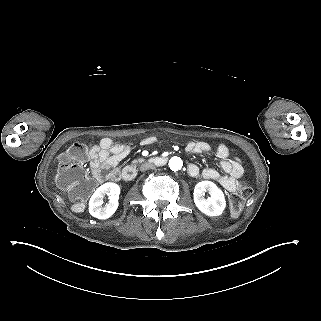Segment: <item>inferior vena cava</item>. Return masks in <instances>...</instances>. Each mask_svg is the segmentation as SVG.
<instances>
[{
	"label": "inferior vena cava",
	"instance_id": "obj_1",
	"mask_svg": "<svg viewBox=\"0 0 321 321\" xmlns=\"http://www.w3.org/2000/svg\"><path fill=\"white\" fill-rule=\"evenodd\" d=\"M153 168H155L154 164H152V163H144V164L141 165L140 170L141 171H146V170L153 169Z\"/></svg>",
	"mask_w": 321,
	"mask_h": 321
}]
</instances>
